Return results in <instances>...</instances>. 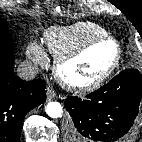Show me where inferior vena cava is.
I'll return each mask as SVG.
<instances>
[{"mask_svg": "<svg viewBox=\"0 0 142 142\" xmlns=\"http://www.w3.org/2000/svg\"><path fill=\"white\" fill-rule=\"evenodd\" d=\"M38 73V67L30 61H23L18 65L17 75L23 80H32Z\"/></svg>", "mask_w": 142, "mask_h": 142, "instance_id": "1", "label": "inferior vena cava"}]
</instances>
